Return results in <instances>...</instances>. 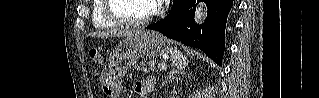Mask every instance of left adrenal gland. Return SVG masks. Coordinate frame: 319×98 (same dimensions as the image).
I'll return each mask as SVG.
<instances>
[{"mask_svg":"<svg viewBox=\"0 0 319 98\" xmlns=\"http://www.w3.org/2000/svg\"><path fill=\"white\" fill-rule=\"evenodd\" d=\"M176 73H177V70L175 69L170 70L168 76L165 77V80L163 81L162 86L165 85L169 80L173 79Z\"/></svg>","mask_w":319,"mask_h":98,"instance_id":"1","label":"left adrenal gland"}]
</instances>
